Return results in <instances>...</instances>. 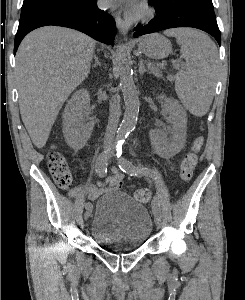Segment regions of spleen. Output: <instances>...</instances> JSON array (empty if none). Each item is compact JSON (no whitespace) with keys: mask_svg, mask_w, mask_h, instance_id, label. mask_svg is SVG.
Segmentation results:
<instances>
[{"mask_svg":"<svg viewBox=\"0 0 245 300\" xmlns=\"http://www.w3.org/2000/svg\"><path fill=\"white\" fill-rule=\"evenodd\" d=\"M176 38L181 54L189 67L176 76V93L184 107L193 115L204 116L212 103L216 81L218 53L205 34L193 29H171L164 32Z\"/></svg>","mask_w":245,"mask_h":300,"instance_id":"3e777b00","label":"spleen"}]
</instances>
